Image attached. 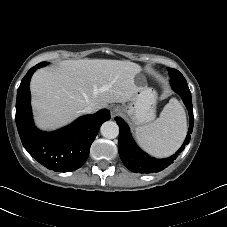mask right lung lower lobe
I'll use <instances>...</instances> for the list:
<instances>
[{
    "instance_id": "right-lung-lower-lobe-1",
    "label": "right lung lower lobe",
    "mask_w": 227,
    "mask_h": 227,
    "mask_svg": "<svg viewBox=\"0 0 227 227\" xmlns=\"http://www.w3.org/2000/svg\"><path fill=\"white\" fill-rule=\"evenodd\" d=\"M37 65L21 81L17 91L16 125L22 144L40 164L56 172H70L80 168L100 126L110 119L108 110L78 118L69 126L53 132L37 129L32 120L29 83Z\"/></svg>"
}]
</instances>
